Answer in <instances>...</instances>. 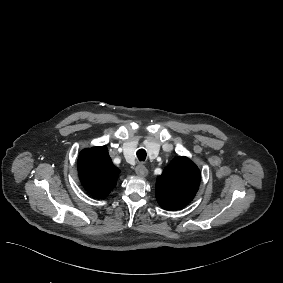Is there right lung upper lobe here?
I'll list each match as a JSON object with an SVG mask.
<instances>
[{"label": "right lung upper lobe", "instance_id": "1", "mask_svg": "<svg viewBox=\"0 0 283 283\" xmlns=\"http://www.w3.org/2000/svg\"><path fill=\"white\" fill-rule=\"evenodd\" d=\"M78 173L84 188L92 196L101 199L116 186L120 170L112 163L107 147L101 146L80 153Z\"/></svg>", "mask_w": 283, "mask_h": 283}]
</instances>
